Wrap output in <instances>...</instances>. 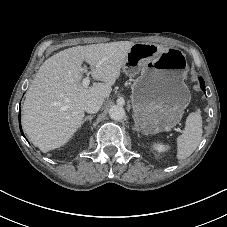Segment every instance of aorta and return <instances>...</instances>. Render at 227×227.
Returning <instances> with one entry per match:
<instances>
[{
	"label": "aorta",
	"instance_id": "762f6f07",
	"mask_svg": "<svg viewBox=\"0 0 227 227\" xmlns=\"http://www.w3.org/2000/svg\"><path fill=\"white\" fill-rule=\"evenodd\" d=\"M109 116L113 120H117V121L122 120L125 116V110L120 105H113L109 109Z\"/></svg>",
	"mask_w": 227,
	"mask_h": 227
}]
</instances>
